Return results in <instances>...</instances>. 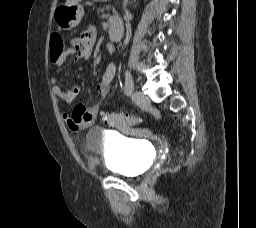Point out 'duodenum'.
<instances>
[{
  "instance_id": "410a0bca",
  "label": "duodenum",
  "mask_w": 256,
  "mask_h": 228,
  "mask_svg": "<svg viewBox=\"0 0 256 228\" xmlns=\"http://www.w3.org/2000/svg\"><path fill=\"white\" fill-rule=\"evenodd\" d=\"M123 33H124V27L121 21L115 20L111 22L109 34H110V38L113 41H119L122 38Z\"/></svg>"
}]
</instances>
